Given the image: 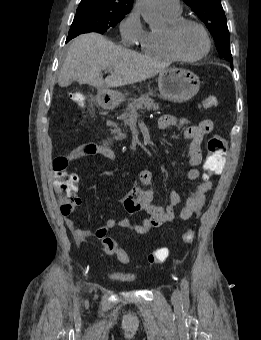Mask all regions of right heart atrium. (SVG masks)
I'll use <instances>...</instances> for the list:
<instances>
[{"mask_svg":"<svg viewBox=\"0 0 261 340\" xmlns=\"http://www.w3.org/2000/svg\"><path fill=\"white\" fill-rule=\"evenodd\" d=\"M145 29L137 8L131 9L120 22V33L123 41L134 43L140 39Z\"/></svg>","mask_w":261,"mask_h":340,"instance_id":"obj_1","label":"right heart atrium"}]
</instances>
